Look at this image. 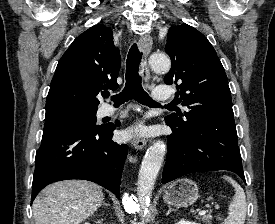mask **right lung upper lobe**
Listing matches in <instances>:
<instances>
[{"instance_id": "right-lung-upper-lobe-1", "label": "right lung upper lobe", "mask_w": 275, "mask_h": 224, "mask_svg": "<svg viewBox=\"0 0 275 224\" xmlns=\"http://www.w3.org/2000/svg\"><path fill=\"white\" fill-rule=\"evenodd\" d=\"M111 28L97 24L79 35L60 58L46 100V113L64 107L97 109L102 89H116L121 66Z\"/></svg>"}]
</instances>
